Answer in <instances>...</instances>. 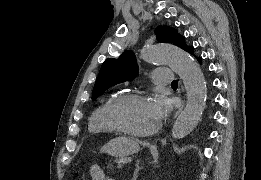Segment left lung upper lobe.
I'll return each mask as SVG.
<instances>
[{"label":"left lung upper lobe","instance_id":"left-lung-upper-lobe-1","mask_svg":"<svg viewBox=\"0 0 261 180\" xmlns=\"http://www.w3.org/2000/svg\"><path fill=\"white\" fill-rule=\"evenodd\" d=\"M159 42L172 43L187 51L185 39L175 29L162 26L155 30ZM138 73L136 58L131 51L124 52L117 59H106L101 66L94 85L92 99L98 98L102 92L113 85L133 79Z\"/></svg>","mask_w":261,"mask_h":180}]
</instances>
